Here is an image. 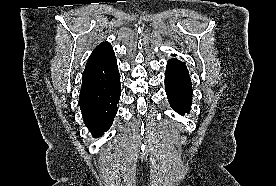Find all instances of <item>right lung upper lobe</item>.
Here are the masks:
<instances>
[{
    "mask_svg": "<svg viewBox=\"0 0 276 186\" xmlns=\"http://www.w3.org/2000/svg\"><path fill=\"white\" fill-rule=\"evenodd\" d=\"M117 60L109 42L100 43L91 53L86 64L82 85H96L118 75Z\"/></svg>",
    "mask_w": 276,
    "mask_h": 186,
    "instance_id": "1",
    "label": "right lung upper lobe"
}]
</instances>
